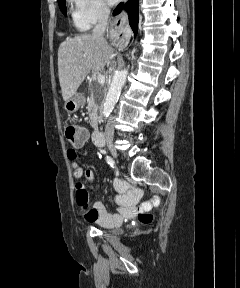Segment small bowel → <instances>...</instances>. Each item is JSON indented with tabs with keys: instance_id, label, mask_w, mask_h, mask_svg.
<instances>
[{
	"instance_id": "c3829d8e",
	"label": "small bowel",
	"mask_w": 240,
	"mask_h": 288,
	"mask_svg": "<svg viewBox=\"0 0 240 288\" xmlns=\"http://www.w3.org/2000/svg\"><path fill=\"white\" fill-rule=\"evenodd\" d=\"M84 130L87 139L88 132L86 129ZM85 141L78 145H74V148L68 149L67 156L73 166L74 179L77 180L85 176L87 180L92 183L94 181L93 171L89 169L84 170L76 162V149H81ZM84 153H89V151L85 150ZM114 188L117 192L115 201L119 208L118 213L111 214L106 210L105 206L101 202H95L93 205H90L86 186L80 182L76 184V202L81 215L87 222H94L102 227L112 228L120 226L125 219L130 218L135 214L140 198L139 192L131 188L126 182L119 179L114 181Z\"/></svg>"
}]
</instances>
